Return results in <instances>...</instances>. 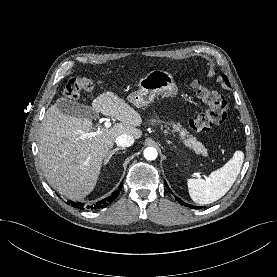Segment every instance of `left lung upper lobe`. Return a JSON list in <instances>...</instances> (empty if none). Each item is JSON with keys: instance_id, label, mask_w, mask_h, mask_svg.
<instances>
[{"instance_id": "5c2ea615", "label": "left lung upper lobe", "mask_w": 277, "mask_h": 277, "mask_svg": "<svg viewBox=\"0 0 277 277\" xmlns=\"http://www.w3.org/2000/svg\"><path fill=\"white\" fill-rule=\"evenodd\" d=\"M222 77L224 78L226 84L229 86V81H228L227 77L225 75H222Z\"/></svg>"}]
</instances>
